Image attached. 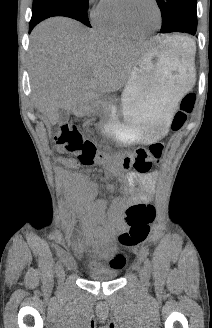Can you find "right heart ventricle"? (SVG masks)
Returning <instances> with one entry per match:
<instances>
[{
	"mask_svg": "<svg viewBox=\"0 0 212 328\" xmlns=\"http://www.w3.org/2000/svg\"><path fill=\"white\" fill-rule=\"evenodd\" d=\"M97 28L105 35L114 38H131L137 36L122 22L118 0H106L95 20Z\"/></svg>",
	"mask_w": 212,
	"mask_h": 328,
	"instance_id": "1",
	"label": "right heart ventricle"
}]
</instances>
